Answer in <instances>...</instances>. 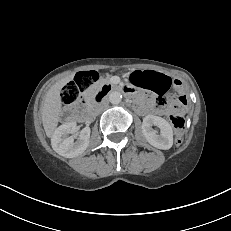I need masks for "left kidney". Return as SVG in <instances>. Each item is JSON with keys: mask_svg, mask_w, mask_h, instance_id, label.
I'll use <instances>...</instances> for the list:
<instances>
[{"mask_svg": "<svg viewBox=\"0 0 231 231\" xmlns=\"http://www.w3.org/2000/svg\"><path fill=\"white\" fill-rule=\"evenodd\" d=\"M157 126L160 129V134H157L152 126ZM142 133L148 143L152 146L168 150L173 145V129L168 121L164 118L154 115H147L143 119Z\"/></svg>", "mask_w": 231, "mask_h": 231, "instance_id": "1", "label": "left kidney"}]
</instances>
